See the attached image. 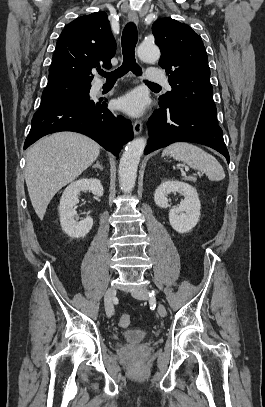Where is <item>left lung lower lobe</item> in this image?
<instances>
[{
  "mask_svg": "<svg viewBox=\"0 0 265 407\" xmlns=\"http://www.w3.org/2000/svg\"><path fill=\"white\" fill-rule=\"evenodd\" d=\"M148 128L150 138L145 154L174 142L186 141L215 149L224 155L229 163L222 129L217 122L198 113L177 107H160L149 118Z\"/></svg>",
  "mask_w": 265,
  "mask_h": 407,
  "instance_id": "left-lung-lower-lobe-1",
  "label": "left lung lower lobe"
}]
</instances>
